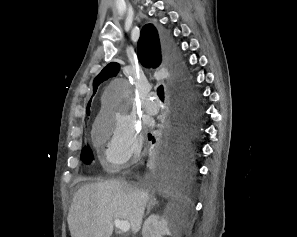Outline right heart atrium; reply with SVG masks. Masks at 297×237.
Masks as SVG:
<instances>
[{"mask_svg":"<svg viewBox=\"0 0 297 237\" xmlns=\"http://www.w3.org/2000/svg\"><path fill=\"white\" fill-rule=\"evenodd\" d=\"M94 138L104 145L103 158L111 170H118L141 156V128L129 115L118 109H106L97 119Z\"/></svg>","mask_w":297,"mask_h":237,"instance_id":"1","label":"right heart atrium"}]
</instances>
